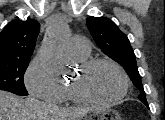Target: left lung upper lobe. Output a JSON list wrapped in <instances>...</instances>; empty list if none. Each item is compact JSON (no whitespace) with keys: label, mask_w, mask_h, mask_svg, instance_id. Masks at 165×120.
I'll list each match as a JSON object with an SVG mask.
<instances>
[{"label":"left lung upper lobe","mask_w":165,"mask_h":120,"mask_svg":"<svg viewBox=\"0 0 165 120\" xmlns=\"http://www.w3.org/2000/svg\"><path fill=\"white\" fill-rule=\"evenodd\" d=\"M86 21L96 44L103 53L126 70L133 84L141 92L138 96L139 100L149 107L138 72L136 57L127 36L109 18L91 16Z\"/></svg>","instance_id":"left-lung-upper-lobe-1"}]
</instances>
